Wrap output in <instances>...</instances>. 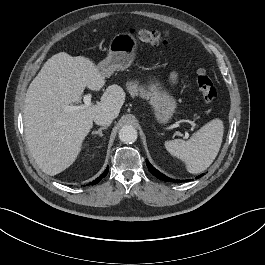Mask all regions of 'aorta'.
<instances>
[{"instance_id": "aorta-1", "label": "aorta", "mask_w": 265, "mask_h": 265, "mask_svg": "<svg viewBox=\"0 0 265 265\" xmlns=\"http://www.w3.org/2000/svg\"><path fill=\"white\" fill-rule=\"evenodd\" d=\"M119 138L125 144H132L137 140V131L133 126L125 125L119 131Z\"/></svg>"}]
</instances>
